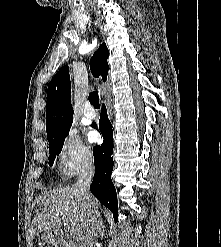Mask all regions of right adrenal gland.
<instances>
[{
    "label": "right adrenal gland",
    "instance_id": "2a0ac1e0",
    "mask_svg": "<svg viewBox=\"0 0 221 247\" xmlns=\"http://www.w3.org/2000/svg\"><path fill=\"white\" fill-rule=\"evenodd\" d=\"M104 232H105V226L103 225L102 222H100L99 227H98V233L101 238L104 237Z\"/></svg>",
    "mask_w": 221,
    "mask_h": 247
}]
</instances>
